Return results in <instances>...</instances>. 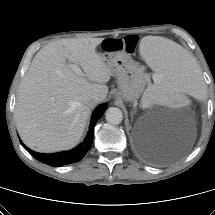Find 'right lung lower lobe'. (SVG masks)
I'll use <instances>...</instances> for the list:
<instances>
[{
	"label": "right lung lower lobe",
	"mask_w": 215,
	"mask_h": 215,
	"mask_svg": "<svg viewBox=\"0 0 215 215\" xmlns=\"http://www.w3.org/2000/svg\"><path fill=\"white\" fill-rule=\"evenodd\" d=\"M107 108V104H101L98 106L92 115L90 129L88 131V134L84 140L83 143H81L79 146L74 148L73 150L66 151V152H60L55 154H42L34 152L30 149H28L23 143L22 146L32 155L34 156L38 161L48 164L50 166H62L66 164H71L80 161L88 152L92 145L93 136H94V126L98 119L101 118L103 112Z\"/></svg>",
	"instance_id": "98d812e1"
}]
</instances>
